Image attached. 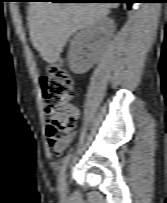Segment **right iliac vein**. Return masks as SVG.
<instances>
[{
    "instance_id": "obj_1",
    "label": "right iliac vein",
    "mask_w": 167,
    "mask_h": 203,
    "mask_svg": "<svg viewBox=\"0 0 167 203\" xmlns=\"http://www.w3.org/2000/svg\"><path fill=\"white\" fill-rule=\"evenodd\" d=\"M67 180H66V175L63 176L61 186H60V193L61 196H65L67 194Z\"/></svg>"
}]
</instances>
